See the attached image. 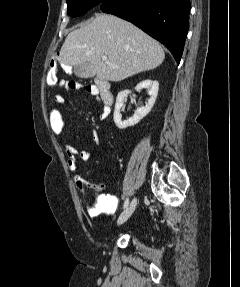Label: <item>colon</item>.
I'll list each match as a JSON object with an SVG mask.
<instances>
[{
  "label": "colon",
  "instance_id": "colon-1",
  "mask_svg": "<svg viewBox=\"0 0 240 287\" xmlns=\"http://www.w3.org/2000/svg\"><path fill=\"white\" fill-rule=\"evenodd\" d=\"M46 82L50 86L57 85L67 90H75V89H80L82 87L79 83L75 81L58 80L56 58H52L49 63V70L47 73ZM57 95H54L52 98V107L49 109L48 119H49V123H50L52 130L56 134H60L65 128V117H64L63 112L58 108V105H62L64 102H58L56 100ZM77 185L81 190L84 189L85 184L81 179L77 180ZM91 206L92 205L90 203H87V208H90Z\"/></svg>",
  "mask_w": 240,
  "mask_h": 287
}]
</instances>
